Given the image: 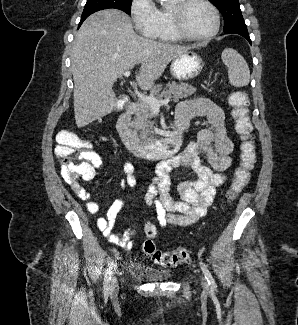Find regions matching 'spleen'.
<instances>
[{
    "instance_id": "3e777b00",
    "label": "spleen",
    "mask_w": 298,
    "mask_h": 325,
    "mask_svg": "<svg viewBox=\"0 0 298 325\" xmlns=\"http://www.w3.org/2000/svg\"><path fill=\"white\" fill-rule=\"evenodd\" d=\"M222 62L228 66V78L233 86H247L250 80L249 66L242 54L235 48H224Z\"/></svg>"
}]
</instances>
